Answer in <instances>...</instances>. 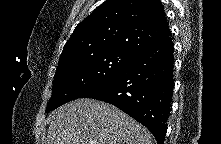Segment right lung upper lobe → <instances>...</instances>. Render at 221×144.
<instances>
[{"instance_id":"right-lung-upper-lobe-1","label":"right lung upper lobe","mask_w":221,"mask_h":144,"mask_svg":"<svg viewBox=\"0 0 221 144\" xmlns=\"http://www.w3.org/2000/svg\"><path fill=\"white\" fill-rule=\"evenodd\" d=\"M170 35L159 0H107L76 26L58 67L111 50L137 55Z\"/></svg>"}]
</instances>
